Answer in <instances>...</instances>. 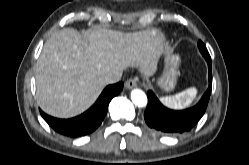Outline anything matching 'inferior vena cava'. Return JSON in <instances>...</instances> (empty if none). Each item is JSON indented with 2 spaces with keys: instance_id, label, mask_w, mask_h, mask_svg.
<instances>
[{
  "instance_id": "inferior-vena-cava-1",
  "label": "inferior vena cava",
  "mask_w": 249,
  "mask_h": 165,
  "mask_svg": "<svg viewBox=\"0 0 249 165\" xmlns=\"http://www.w3.org/2000/svg\"><path fill=\"white\" fill-rule=\"evenodd\" d=\"M122 72H113L103 76L102 81L105 85L114 84L120 81Z\"/></svg>"
}]
</instances>
